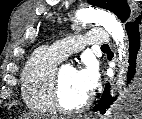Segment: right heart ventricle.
Listing matches in <instances>:
<instances>
[{
    "label": "right heart ventricle",
    "instance_id": "e07e8e85",
    "mask_svg": "<svg viewBox=\"0 0 142 119\" xmlns=\"http://www.w3.org/2000/svg\"><path fill=\"white\" fill-rule=\"evenodd\" d=\"M61 57L49 46L36 49L26 62L21 76V92L32 110L51 113V84Z\"/></svg>",
    "mask_w": 142,
    "mask_h": 119
}]
</instances>
